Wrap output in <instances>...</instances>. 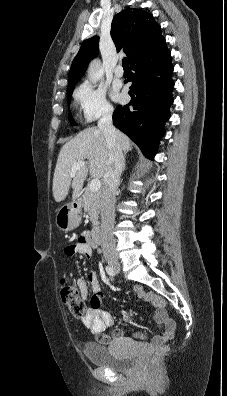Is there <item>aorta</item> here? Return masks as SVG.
<instances>
[{
	"mask_svg": "<svg viewBox=\"0 0 227 396\" xmlns=\"http://www.w3.org/2000/svg\"><path fill=\"white\" fill-rule=\"evenodd\" d=\"M103 76V70L99 60H93L88 68V78L92 83H96Z\"/></svg>",
	"mask_w": 227,
	"mask_h": 396,
	"instance_id": "762f6f07",
	"label": "aorta"
}]
</instances>
